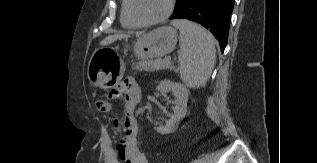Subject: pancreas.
I'll return each instance as SVG.
<instances>
[{"mask_svg": "<svg viewBox=\"0 0 317 163\" xmlns=\"http://www.w3.org/2000/svg\"><path fill=\"white\" fill-rule=\"evenodd\" d=\"M171 68L169 59H156V60H145L137 63H133V69L139 71H153Z\"/></svg>", "mask_w": 317, "mask_h": 163, "instance_id": "cf45deb5", "label": "pancreas"}]
</instances>
